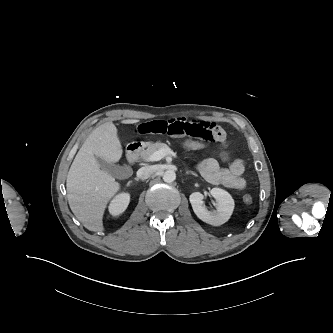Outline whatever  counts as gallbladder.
Returning <instances> with one entry per match:
<instances>
[{"label":"gallbladder","mask_w":333,"mask_h":333,"mask_svg":"<svg viewBox=\"0 0 333 333\" xmlns=\"http://www.w3.org/2000/svg\"><path fill=\"white\" fill-rule=\"evenodd\" d=\"M96 160L98 161L101 170L106 171L113 176L118 177L124 170L123 166L108 162L99 156H96Z\"/></svg>","instance_id":"1"}]
</instances>
